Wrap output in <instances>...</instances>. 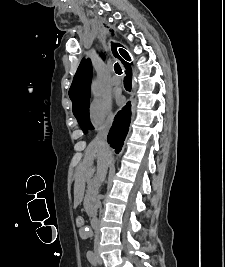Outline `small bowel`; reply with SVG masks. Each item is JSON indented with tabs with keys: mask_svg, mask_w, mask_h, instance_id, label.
I'll use <instances>...</instances> for the list:
<instances>
[{
	"mask_svg": "<svg viewBox=\"0 0 225 267\" xmlns=\"http://www.w3.org/2000/svg\"><path fill=\"white\" fill-rule=\"evenodd\" d=\"M88 230H85V232H83V234H80V236L82 237V238H86V236L88 235V232H87Z\"/></svg>",
	"mask_w": 225,
	"mask_h": 267,
	"instance_id": "c3829d8e",
	"label": "small bowel"
}]
</instances>
